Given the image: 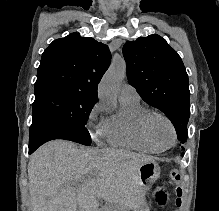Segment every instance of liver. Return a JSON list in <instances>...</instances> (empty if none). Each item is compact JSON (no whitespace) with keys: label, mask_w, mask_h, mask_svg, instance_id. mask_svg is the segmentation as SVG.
I'll return each mask as SVG.
<instances>
[{"label":"liver","mask_w":219,"mask_h":211,"mask_svg":"<svg viewBox=\"0 0 219 211\" xmlns=\"http://www.w3.org/2000/svg\"><path fill=\"white\" fill-rule=\"evenodd\" d=\"M150 159L125 149H78L66 139L47 141L28 161L29 211H102L99 199L140 209L138 169Z\"/></svg>","instance_id":"6515ba94"}]
</instances>
